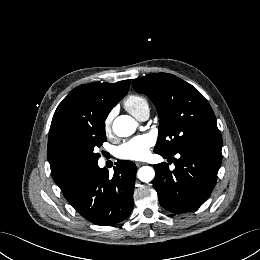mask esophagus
<instances>
[{
	"mask_svg": "<svg viewBox=\"0 0 260 260\" xmlns=\"http://www.w3.org/2000/svg\"><path fill=\"white\" fill-rule=\"evenodd\" d=\"M135 164H136L137 167H140V166H142L144 163H143V162H136Z\"/></svg>",
	"mask_w": 260,
	"mask_h": 260,
	"instance_id": "1",
	"label": "esophagus"
}]
</instances>
